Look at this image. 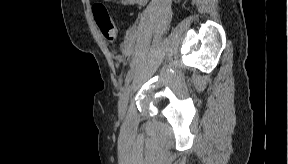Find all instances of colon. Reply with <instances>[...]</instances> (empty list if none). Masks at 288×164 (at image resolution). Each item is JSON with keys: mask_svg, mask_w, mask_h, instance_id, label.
I'll list each match as a JSON object with an SVG mask.
<instances>
[{"mask_svg": "<svg viewBox=\"0 0 288 164\" xmlns=\"http://www.w3.org/2000/svg\"><path fill=\"white\" fill-rule=\"evenodd\" d=\"M94 21L106 39L114 41L117 38V29L110 18L109 11L101 4L93 8Z\"/></svg>", "mask_w": 288, "mask_h": 164, "instance_id": "colon-1", "label": "colon"}]
</instances>
